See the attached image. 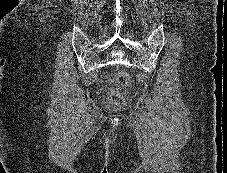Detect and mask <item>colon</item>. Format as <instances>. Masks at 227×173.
I'll return each mask as SVG.
<instances>
[{
	"label": "colon",
	"instance_id": "colon-1",
	"mask_svg": "<svg viewBox=\"0 0 227 173\" xmlns=\"http://www.w3.org/2000/svg\"><path fill=\"white\" fill-rule=\"evenodd\" d=\"M117 81L120 84L126 85L129 83V78L125 73H118L116 76Z\"/></svg>",
	"mask_w": 227,
	"mask_h": 173
}]
</instances>
